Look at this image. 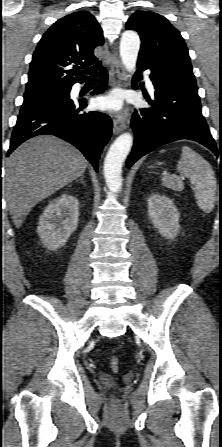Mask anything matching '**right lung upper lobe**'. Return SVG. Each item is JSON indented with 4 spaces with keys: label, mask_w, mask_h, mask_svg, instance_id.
Here are the masks:
<instances>
[{
    "label": "right lung upper lobe",
    "mask_w": 222,
    "mask_h": 447,
    "mask_svg": "<svg viewBox=\"0 0 222 447\" xmlns=\"http://www.w3.org/2000/svg\"><path fill=\"white\" fill-rule=\"evenodd\" d=\"M103 42L100 25L89 12H74L59 19L34 51L24 95L70 90L74 83L84 82L86 76L79 69L98 61L93 50ZM71 64H75L72 69Z\"/></svg>",
    "instance_id": "1"
}]
</instances>
